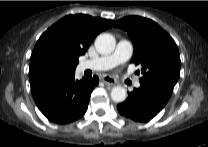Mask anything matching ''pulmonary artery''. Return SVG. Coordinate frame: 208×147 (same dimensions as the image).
Returning a JSON list of instances; mask_svg holds the SVG:
<instances>
[{
    "mask_svg": "<svg viewBox=\"0 0 208 147\" xmlns=\"http://www.w3.org/2000/svg\"><path fill=\"white\" fill-rule=\"evenodd\" d=\"M133 53V46L128 40H120L113 53L100 56L94 59L83 60L79 64L81 71L95 70L102 71L111 69L119 64H123L129 60ZM136 88L140 87V82L134 83Z\"/></svg>",
    "mask_w": 208,
    "mask_h": 147,
    "instance_id": "e3ab8cb5",
    "label": "pulmonary artery"
}]
</instances>
